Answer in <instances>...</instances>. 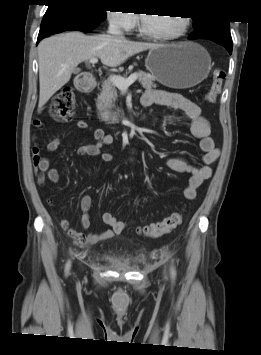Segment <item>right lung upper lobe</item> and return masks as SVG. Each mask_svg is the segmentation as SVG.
<instances>
[{"label":"right lung upper lobe","mask_w":261,"mask_h":355,"mask_svg":"<svg viewBox=\"0 0 261 355\" xmlns=\"http://www.w3.org/2000/svg\"><path fill=\"white\" fill-rule=\"evenodd\" d=\"M50 4H58V3H63V2H74V1H80V0H48Z\"/></svg>","instance_id":"right-lung-upper-lobe-1"}]
</instances>
